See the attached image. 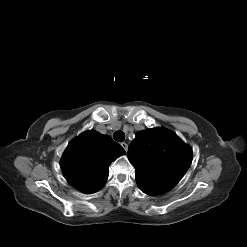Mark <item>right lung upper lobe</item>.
Returning <instances> with one entry per match:
<instances>
[{"instance_id": "obj_1", "label": "right lung upper lobe", "mask_w": 247, "mask_h": 247, "mask_svg": "<svg viewBox=\"0 0 247 247\" xmlns=\"http://www.w3.org/2000/svg\"><path fill=\"white\" fill-rule=\"evenodd\" d=\"M124 154L122 146L111 137L91 130L68 144L60 166L70 184L84 193H93L105 184L111 162Z\"/></svg>"}]
</instances>
